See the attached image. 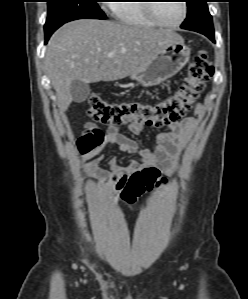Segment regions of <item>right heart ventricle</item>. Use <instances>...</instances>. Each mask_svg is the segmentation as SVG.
<instances>
[{"label":"right heart ventricle","instance_id":"obj_1","mask_svg":"<svg viewBox=\"0 0 248 299\" xmlns=\"http://www.w3.org/2000/svg\"><path fill=\"white\" fill-rule=\"evenodd\" d=\"M146 0L118 1L112 5L116 19L125 25L134 27L154 28L158 24L154 22L146 9Z\"/></svg>","mask_w":248,"mask_h":299}]
</instances>
